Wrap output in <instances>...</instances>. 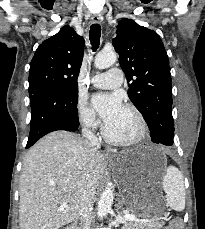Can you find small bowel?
<instances>
[{"label": "small bowel", "instance_id": "1", "mask_svg": "<svg viewBox=\"0 0 205 229\" xmlns=\"http://www.w3.org/2000/svg\"><path fill=\"white\" fill-rule=\"evenodd\" d=\"M165 229H181V224L179 221H173L171 224H169Z\"/></svg>", "mask_w": 205, "mask_h": 229}]
</instances>
